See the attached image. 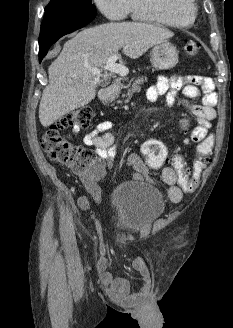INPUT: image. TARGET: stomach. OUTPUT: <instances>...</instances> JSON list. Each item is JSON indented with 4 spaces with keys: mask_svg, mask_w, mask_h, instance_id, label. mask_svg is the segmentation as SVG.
<instances>
[{
    "mask_svg": "<svg viewBox=\"0 0 233 328\" xmlns=\"http://www.w3.org/2000/svg\"><path fill=\"white\" fill-rule=\"evenodd\" d=\"M150 60L156 69H170L178 63L177 49L172 43L164 40L154 45L150 53Z\"/></svg>",
    "mask_w": 233,
    "mask_h": 328,
    "instance_id": "stomach-1",
    "label": "stomach"
}]
</instances>
